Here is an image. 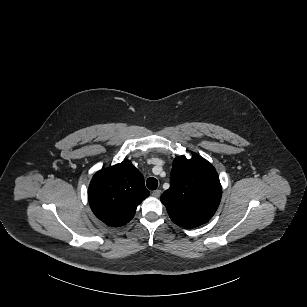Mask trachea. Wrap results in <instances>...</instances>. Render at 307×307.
<instances>
[{"instance_id":"obj_1","label":"trachea","mask_w":307,"mask_h":307,"mask_svg":"<svg viewBox=\"0 0 307 307\" xmlns=\"http://www.w3.org/2000/svg\"><path fill=\"white\" fill-rule=\"evenodd\" d=\"M148 189L155 190L158 186V181L155 178H148L146 181Z\"/></svg>"}]
</instances>
